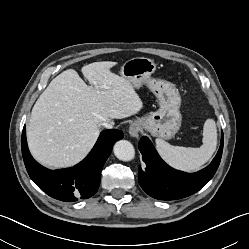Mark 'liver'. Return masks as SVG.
Returning a JSON list of instances; mask_svg holds the SVG:
<instances>
[{
    "mask_svg": "<svg viewBox=\"0 0 249 249\" xmlns=\"http://www.w3.org/2000/svg\"><path fill=\"white\" fill-rule=\"evenodd\" d=\"M116 62L82 68L87 85L73 69L55 77L36 101L27 126L33 157L43 165L70 167L86 157L105 121L137 114L143 103L132 84L112 73Z\"/></svg>",
    "mask_w": 249,
    "mask_h": 249,
    "instance_id": "obj_1",
    "label": "liver"
}]
</instances>
